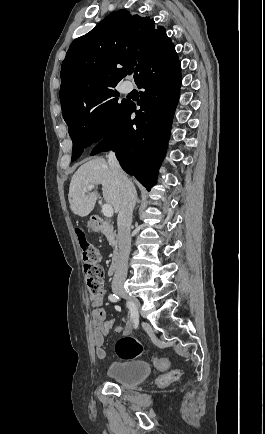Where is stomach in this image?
<instances>
[{
	"label": "stomach",
	"mask_w": 265,
	"mask_h": 434,
	"mask_svg": "<svg viewBox=\"0 0 265 434\" xmlns=\"http://www.w3.org/2000/svg\"><path fill=\"white\" fill-rule=\"evenodd\" d=\"M88 228H89V230H91V231H92V230H94V228H95V227H94V225H92V224H91V225H89V227H88Z\"/></svg>",
	"instance_id": "obj_1"
}]
</instances>
